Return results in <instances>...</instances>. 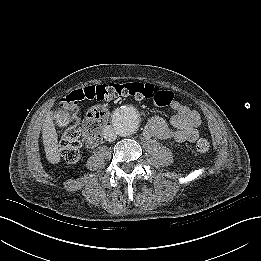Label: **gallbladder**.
<instances>
[{
	"mask_svg": "<svg viewBox=\"0 0 261 261\" xmlns=\"http://www.w3.org/2000/svg\"><path fill=\"white\" fill-rule=\"evenodd\" d=\"M56 120L59 124L64 125L68 122L69 117L66 113L59 111V114L57 115Z\"/></svg>",
	"mask_w": 261,
	"mask_h": 261,
	"instance_id": "obj_1",
	"label": "gallbladder"
}]
</instances>
